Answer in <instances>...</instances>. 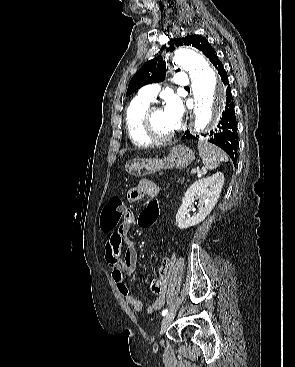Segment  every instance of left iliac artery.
Returning a JSON list of instances; mask_svg holds the SVG:
<instances>
[{
  "label": "left iliac artery",
  "mask_w": 295,
  "mask_h": 367,
  "mask_svg": "<svg viewBox=\"0 0 295 367\" xmlns=\"http://www.w3.org/2000/svg\"><path fill=\"white\" fill-rule=\"evenodd\" d=\"M167 313H168V310L167 309L163 310L162 311V316H165Z\"/></svg>",
  "instance_id": "left-iliac-artery-1"
}]
</instances>
